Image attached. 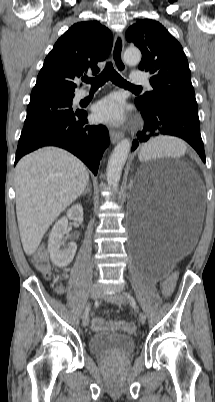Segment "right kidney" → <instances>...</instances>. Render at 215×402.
<instances>
[{"mask_svg": "<svg viewBox=\"0 0 215 402\" xmlns=\"http://www.w3.org/2000/svg\"><path fill=\"white\" fill-rule=\"evenodd\" d=\"M68 219L77 222L83 221V207L81 204L72 206L68 210L66 217H62L55 223L49 236L48 251L51 261L60 268L66 267L72 262L77 250L75 242L66 244L63 240L68 227Z\"/></svg>", "mask_w": 215, "mask_h": 402, "instance_id": "1", "label": "right kidney"}]
</instances>
